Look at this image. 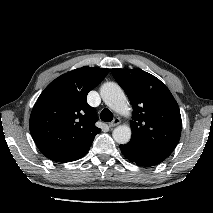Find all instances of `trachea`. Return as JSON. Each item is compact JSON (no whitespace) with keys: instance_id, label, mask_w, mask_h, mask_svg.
Here are the masks:
<instances>
[{"instance_id":"3493384b","label":"trachea","mask_w":213,"mask_h":213,"mask_svg":"<svg viewBox=\"0 0 213 213\" xmlns=\"http://www.w3.org/2000/svg\"><path fill=\"white\" fill-rule=\"evenodd\" d=\"M100 118L104 122H111L113 120V114L109 109L105 108L100 113Z\"/></svg>"}]
</instances>
